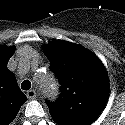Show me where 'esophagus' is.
I'll return each mask as SVG.
<instances>
[{"label":"esophagus","mask_w":125,"mask_h":125,"mask_svg":"<svg viewBox=\"0 0 125 125\" xmlns=\"http://www.w3.org/2000/svg\"><path fill=\"white\" fill-rule=\"evenodd\" d=\"M26 96L28 99H35L36 98V92L35 90H29L26 92Z\"/></svg>","instance_id":"1"}]
</instances>
